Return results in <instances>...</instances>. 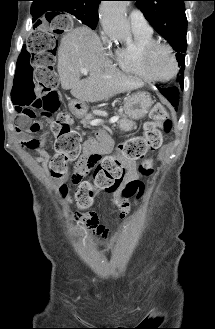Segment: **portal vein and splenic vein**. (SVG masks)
<instances>
[{
	"label": "portal vein and splenic vein",
	"mask_w": 215,
	"mask_h": 329,
	"mask_svg": "<svg viewBox=\"0 0 215 329\" xmlns=\"http://www.w3.org/2000/svg\"><path fill=\"white\" fill-rule=\"evenodd\" d=\"M80 72L84 75L88 74V70L86 68H81ZM118 120H119V117L114 116V117L110 118L109 123H114V122H117ZM101 123H103V121L100 120V119H94L90 122V124H92V125H98V124H101Z\"/></svg>",
	"instance_id": "1"
}]
</instances>
